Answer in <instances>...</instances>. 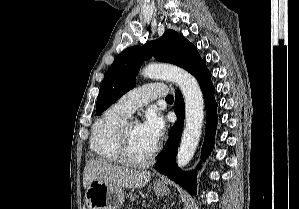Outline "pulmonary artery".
<instances>
[{
    "label": "pulmonary artery",
    "mask_w": 299,
    "mask_h": 209,
    "mask_svg": "<svg viewBox=\"0 0 299 209\" xmlns=\"http://www.w3.org/2000/svg\"><path fill=\"white\" fill-rule=\"evenodd\" d=\"M168 88L163 83H149L124 94L116 102V107L127 116H130L137 108L148 104L150 101L166 96Z\"/></svg>",
    "instance_id": "pulmonary-artery-1"
}]
</instances>
